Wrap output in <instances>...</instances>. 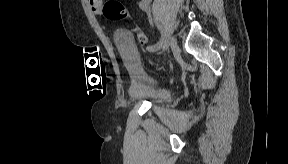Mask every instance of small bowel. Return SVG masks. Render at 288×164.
Returning <instances> with one entry per match:
<instances>
[{"instance_id":"1","label":"small bowel","mask_w":288,"mask_h":164,"mask_svg":"<svg viewBox=\"0 0 288 164\" xmlns=\"http://www.w3.org/2000/svg\"><path fill=\"white\" fill-rule=\"evenodd\" d=\"M148 7H149V2L148 1H142L140 3V8L141 9L146 10V9H148Z\"/></svg>"}]
</instances>
